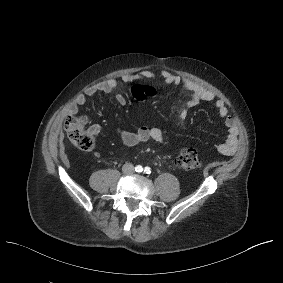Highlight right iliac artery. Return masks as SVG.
<instances>
[{
	"mask_svg": "<svg viewBox=\"0 0 283 283\" xmlns=\"http://www.w3.org/2000/svg\"><path fill=\"white\" fill-rule=\"evenodd\" d=\"M135 171H136V172H142V171H143L142 166H140V165L136 166V167H135Z\"/></svg>",
	"mask_w": 283,
	"mask_h": 283,
	"instance_id": "1",
	"label": "right iliac artery"
}]
</instances>
